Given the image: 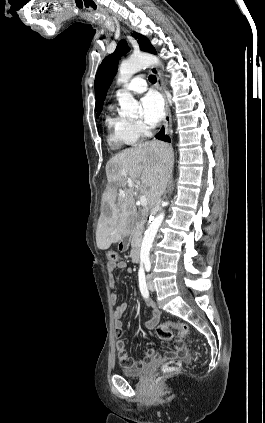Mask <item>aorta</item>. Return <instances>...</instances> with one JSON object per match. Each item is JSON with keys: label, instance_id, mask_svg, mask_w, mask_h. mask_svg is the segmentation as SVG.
I'll return each mask as SVG.
<instances>
[{"label": "aorta", "instance_id": "1", "mask_svg": "<svg viewBox=\"0 0 265 423\" xmlns=\"http://www.w3.org/2000/svg\"><path fill=\"white\" fill-rule=\"evenodd\" d=\"M160 60L152 55L146 53H140L132 55L128 60L124 61L119 68L118 81L121 83H127L129 79L141 69L151 66L160 65ZM118 101L120 105V114L123 116H134L138 113L139 103L134 99L133 95L129 92H122L118 94ZM168 205V202H165ZM165 217L164 211L160 212L150 223L144 233V237L140 249V263H150V250L154 238L159 230L161 223Z\"/></svg>", "mask_w": 265, "mask_h": 423}]
</instances>
